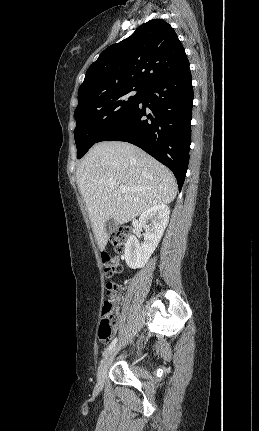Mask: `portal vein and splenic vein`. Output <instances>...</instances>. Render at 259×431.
I'll use <instances>...</instances> for the list:
<instances>
[{
	"label": "portal vein and splenic vein",
	"mask_w": 259,
	"mask_h": 431,
	"mask_svg": "<svg viewBox=\"0 0 259 431\" xmlns=\"http://www.w3.org/2000/svg\"><path fill=\"white\" fill-rule=\"evenodd\" d=\"M119 188L122 193H127L130 190V188L125 185H121Z\"/></svg>",
	"instance_id": "18ae733b"
}]
</instances>
